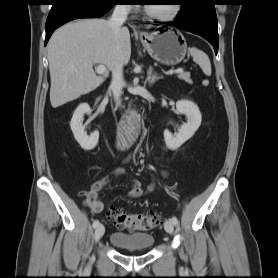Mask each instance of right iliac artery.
Wrapping results in <instances>:
<instances>
[{
  "label": "right iliac artery",
  "instance_id": "82829eb1",
  "mask_svg": "<svg viewBox=\"0 0 278 278\" xmlns=\"http://www.w3.org/2000/svg\"><path fill=\"white\" fill-rule=\"evenodd\" d=\"M99 225H100V222H99L98 220H95V221L93 222V227H94V228H97Z\"/></svg>",
  "mask_w": 278,
  "mask_h": 278
}]
</instances>
